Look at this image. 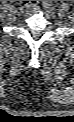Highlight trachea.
<instances>
[{"label":"trachea","instance_id":"1","mask_svg":"<svg viewBox=\"0 0 74 122\" xmlns=\"http://www.w3.org/2000/svg\"><path fill=\"white\" fill-rule=\"evenodd\" d=\"M29 1H25V3H28ZM32 3H35L36 1H31Z\"/></svg>","mask_w":74,"mask_h":122}]
</instances>
